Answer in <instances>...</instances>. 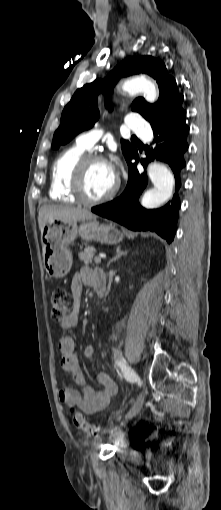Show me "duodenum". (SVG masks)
<instances>
[{
	"label": "duodenum",
	"mask_w": 221,
	"mask_h": 510,
	"mask_svg": "<svg viewBox=\"0 0 221 510\" xmlns=\"http://www.w3.org/2000/svg\"><path fill=\"white\" fill-rule=\"evenodd\" d=\"M94 287L99 296H102L106 290V274L103 269H95L93 276Z\"/></svg>",
	"instance_id": "1"
}]
</instances>
